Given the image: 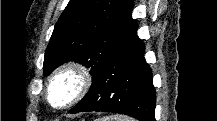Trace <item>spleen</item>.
<instances>
[{
  "instance_id": "obj_1",
  "label": "spleen",
  "mask_w": 217,
  "mask_h": 121,
  "mask_svg": "<svg viewBox=\"0 0 217 121\" xmlns=\"http://www.w3.org/2000/svg\"><path fill=\"white\" fill-rule=\"evenodd\" d=\"M99 121H130L129 118L121 116V115H114L110 117H104Z\"/></svg>"
}]
</instances>
